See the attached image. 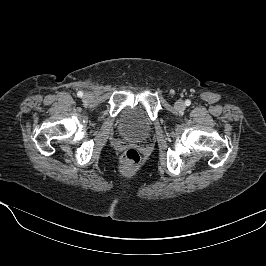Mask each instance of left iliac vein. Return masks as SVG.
I'll use <instances>...</instances> for the list:
<instances>
[{"label": "left iliac vein", "instance_id": "1", "mask_svg": "<svg viewBox=\"0 0 266 266\" xmlns=\"http://www.w3.org/2000/svg\"><path fill=\"white\" fill-rule=\"evenodd\" d=\"M175 108L178 110V111H182L185 109V103L182 101V100H178L176 103H175Z\"/></svg>", "mask_w": 266, "mask_h": 266}]
</instances>
